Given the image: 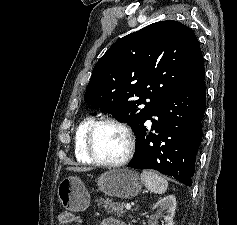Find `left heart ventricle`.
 <instances>
[{"label": "left heart ventricle", "instance_id": "1", "mask_svg": "<svg viewBox=\"0 0 237 225\" xmlns=\"http://www.w3.org/2000/svg\"><path fill=\"white\" fill-rule=\"evenodd\" d=\"M94 150L103 160L121 159L127 150V139L124 132L113 125L100 126L94 135Z\"/></svg>", "mask_w": 237, "mask_h": 225}]
</instances>
